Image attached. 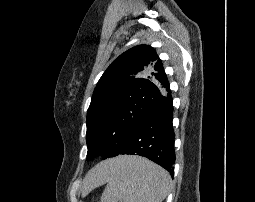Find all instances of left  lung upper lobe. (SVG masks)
Listing matches in <instances>:
<instances>
[{"label": "left lung upper lobe", "mask_w": 255, "mask_h": 202, "mask_svg": "<svg viewBox=\"0 0 255 202\" xmlns=\"http://www.w3.org/2000/svg\"><path fill=\"white\" fill-rule=\"evenodd\" d=\"M170 95L154 48L133 47L101 76L87 113L88 159L117 156L144 118Z\"/></svg>", "instance_id": "5c2ea615"}]
</instances>
